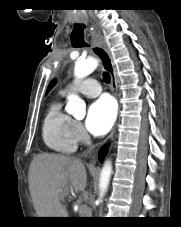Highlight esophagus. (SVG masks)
<instances>
[{"mask_svg":"<svg viewBox=\"0 0 181 227\" xmlns=\"http://www.w3.org/2000/svg\"><path fill=\"white\" fill-rule=\"evenodd\" d=\"M94 37H95L96 44L93 50L95 54L99 57L104 69L109 72L111 76L112 89L114 91L115 96H118V83H117V77H116L115 67L111 57V53L107 48L100 34L96 33ZM114 133H115V128L112 130L111 134L109 135L105 143L109 142L113 138Z\"/></svg>","mask_w":181,"mask_h":227,"instance_id":"obj_1","label":"esophagus"}]
</instances>
